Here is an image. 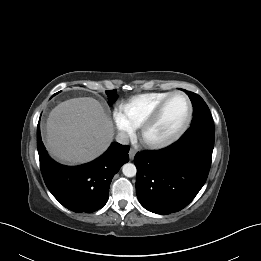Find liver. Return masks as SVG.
<instances>
[{
	"label": "liver",
	"mask_w": 261,
	"mask_h": 261,
	"mask_svg": "<svg viewBox=\"0 0 261 261\" xmlns=\"http://www.w3.org/2000/svg\"><path fill=\"white\" fill-rule=\"evenodd\" d=\"M114 136L112 121L90 97L58 104L47 120V148L60 161L82 164L100 156Z\"/></svg>",
	"instance_id": "obj_1"
}]
</instances>
